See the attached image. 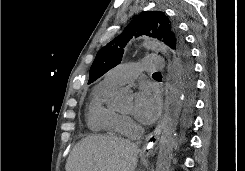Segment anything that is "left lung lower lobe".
<instances>
[{
    "instance_id": "0a47b994",
    "label": "left lung lower lobe",
    "mask_w": 245,
    "mask_h": 171,
    "mask_svg": "<svg viewBox=\"0 0 245 171\" xmlns=\"http://www.w3.org/2000/svg\"><path fill=\"white\" fill-rule=\"evenodd\" d=\"M177 75L180 85L185 95V111L189 113L193 107V94L195 89L193 62L192 61H175Z\"/></svg>"
}]
</instances>
